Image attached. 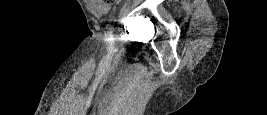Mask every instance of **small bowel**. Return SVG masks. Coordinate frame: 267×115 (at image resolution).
<instances>
[{
    "instance_id": "small-bowel-1",
    "label": "small bowel",
    "mask_w": 267,
    "mask_h": 115,
    "mask_svg": "<svg viewBox=\"0 0 267 115\" xmlns=\"http://www.w3.org/2000/svg\"><path fill=\"white\" fill-rule=\"evenodd\" d=\"M85 2L95 13H104L108 9V5L104 2L97 0H85Z\"/></svg>"
}]
</instances>
